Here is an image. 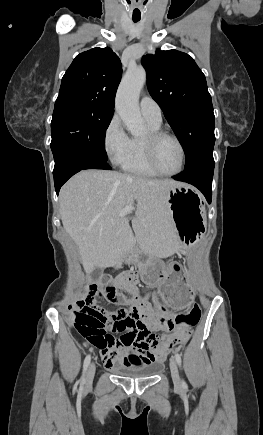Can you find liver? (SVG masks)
<instances>
[{
  "instance_id": "liver-1",
  "label": "liver",
  "mask_w": 263,
  "mask_h": 435,
  "mask_svg": "<svg viewBox=\"0 0 263 435\" xmlns=\"http://www.w3.org/2000/svg\"><path fill=\"white\" fill-rule=\"evenodd\" d=\"M181 184L104 170H84L73 176L60 191V215L78 246L85 272L116 265L133 251L136 241L158 258L178 252L180 240L167 196ZM135 205L134 237L128 221L118 214Z\"/></svg>"
}]
</instances>
